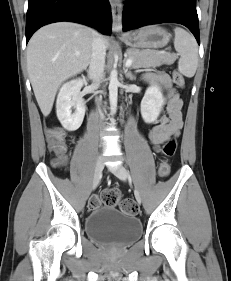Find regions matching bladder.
<instances>
[{
  "label": "bladder",
  "instance_id": "1",
  "mask_svg": "<svg viewBox=\"0 0 231 281\" xmlns=\"http://www.w3.org/2000/svg\"><path fill=\"white\" fill-rule=\"evenodd\" d=\"M86 235L99 243L127 245L137 240L142 233V224L134 216L110 206L92 210L85 218Z\"/></svg>",
  "mask_w": 231,
  "mask_h": 281
}]
</instances>
